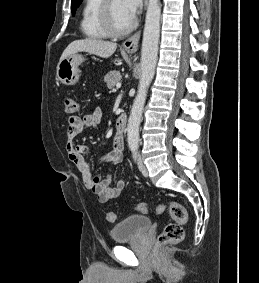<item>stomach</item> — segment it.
<instances>
[{"instance_id": "obj_1", "label": "stomach", "mask_w": 259, "mask_h": 283, "mask_svg": "<svg viewBox=\"0 0 259 283\" xmlns=\"http://www.w3.org/2000/svg\"><path fill=\"white\" fill-rule=\"evenodd\" d=\"M84 61L83 55L73 53L61 60L57 66V78L65 85H74L80 78L79 65Z\"/></svg>"}]
</instances>
